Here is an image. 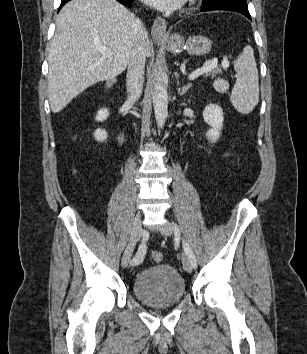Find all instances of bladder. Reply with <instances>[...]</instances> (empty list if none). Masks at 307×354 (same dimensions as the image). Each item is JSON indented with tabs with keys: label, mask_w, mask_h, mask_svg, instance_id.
<instances>
[{
	"label": "bladder",
	"mask_w": 307,
	"mask_h": 354,
	"mask_svg": "<svg viewBox=\"0 0 307 354\" xmlns=\"http://www.w3.org/2000/svg\"><path fill=\"white\" fill-rule=\"evenodd\" d=\"M186 292L181 274L169 264H158L140 271L133 281V293L143 304L166 307L178 303Z\"/></svg>",
	"instance_id": "bladder-1"
}]
</instances>
